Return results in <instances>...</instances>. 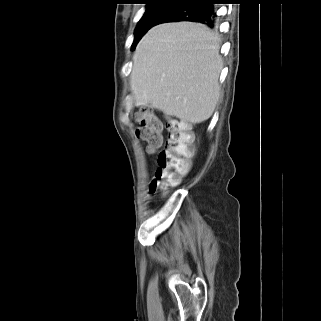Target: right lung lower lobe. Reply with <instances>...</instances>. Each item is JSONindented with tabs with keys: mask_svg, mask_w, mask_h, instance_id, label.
<instances>
[{
	"mask_svg": "<svg viewBox=\"0 0 321 321\" xmlns=\"http://www.w3.org/2000/svg\"><path fill=\"white\" fill-rule=\"evenodd\" d=\"M214 3L213 0H189L183 4L175 5L162 15L157 24L191 21L214 27L217 19Z\"/></svg>",
	"mask_w": 321,
	"mask_h": 321,
	"instance_id": "98d812e1",
	"label": "right lung lower lobe"
}]
</instances>
